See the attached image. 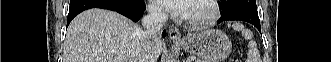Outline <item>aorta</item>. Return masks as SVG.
<instances>
[{
	"instance_id": "aorta-1",
	"label": "aorta",
	"mask_w": 331,
	"mask_h": 62,
	"mask_svg": "<svg viewBox=\"0 0 331 62\" xmlns=\"http://www.w3.org/2000/svg\"><path fill=\"white\" fill-rule=\"evenodd\" d=\"M169 62H173V60H169Z\"/></svg>"
}]
</instances>
